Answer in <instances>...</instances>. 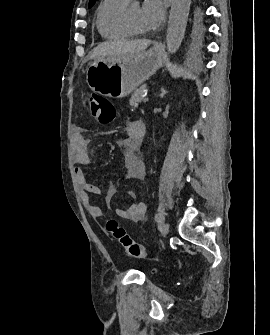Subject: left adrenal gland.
Listing matches in <instances>:
<instances>
[{"mask_svg": "<svg viewBox=\"0 0 270 335\" xmlns=\"http://www.w3.org/2000/svg\"><path fill=\"white\" fill-rule=\"evenodd\" d=\"M162 90V94H166V90H164V88H161Z\"/></svg>", "mask_w": 270, "mask_h": 335, "instance_id": "left-adrenal-gland-1", "label": "left adrenal gland"}]
</instances>
